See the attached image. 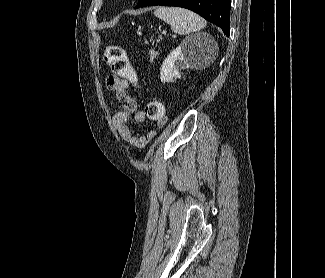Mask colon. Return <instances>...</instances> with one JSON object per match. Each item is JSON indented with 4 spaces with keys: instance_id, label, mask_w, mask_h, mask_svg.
Masks as SVG:
<instances>
[{
    "instance_id": "1",
    "label": "colon",
    "mask_w": 325,
    "mask_h": 278,
    "mask_svg": "<svg viewBox=\"0 0 325 278\" xmlns=\"http://www.w3.org/2000/svg\"><path fill=\"white\" fill-rule=\"evenodd\" d=\"M104 61L117 77L132 83L137 82V72L120 46H109L105 51ZM145 114L152 121L162 122L165 118L164 105L157 100L150 101L145 108Z\"/></svg>"
}]
</instances>
